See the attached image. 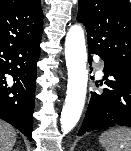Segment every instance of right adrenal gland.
<instances>
[{"mask_svg":"<svg viewBox=\"0 0 131 151\" xmlns=\"http://www.w3.org/2000/svg\"><path fill=\"white\" fill-rule=\"evenodd\" d=\"M14 151H19V149L17 148V149H14Z\"/></svg>","mask_w":131,"mask_h":151,"instance_id":"right-adrenal-gland-1","label":"right adrenal gland"}]
</instances>
